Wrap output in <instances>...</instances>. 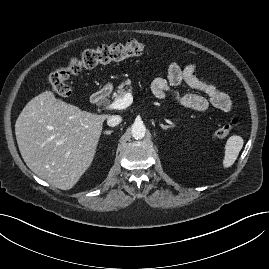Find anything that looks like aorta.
Here are the masks:
<instances>
[{"instance_id": "762f6f07", "label": "aorta", "mask_w": 269, "mask_h": 269, "mask_svg": "<svg viewBox=\"0 0 269 269\" xmlns=\"http://www.w3.org/2000/svg\"><path fill=\"white\" fill-rule=\"evenodd\" d=\"M146 133V127L142 122H135L131 128V134L135 139L144 138Z\"/></svg>"}]
</instances>
